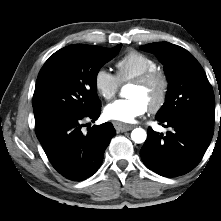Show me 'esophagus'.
I'll use <instances>...</instances> for the list:
<instances>
[{"label":"esophagus","mask_w":221,"mask_h":221,"mask_svg":"<svg viewBox=\"0 0 221 221\" xmlns=\"http://www.w3.org/2000/svg\"><path fill=\"white\" fill-rule=\"evenodd\" d=\"M113 125L118 132H126L132 130L135 126L130 124H124L118 121H114Z\"/></svg>","instance_id":"1"}]
</instances>
